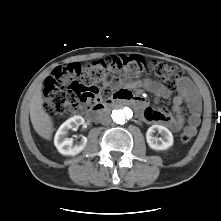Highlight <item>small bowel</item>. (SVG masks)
<instances>
[{
    "instance_id": "obj_1",
    "label": "small bowel",
    "mask_w": 221,
    "mask_h": 221,
    "mask_svg": "<svg viewBox=\"0 0 221 221\" xmlns=\"http://www.w3.org/2000/svg\"><path fill=\"white\" fill-rule=\"evenodd\" d=\"M128 84L126 79L115 76H108L105 80L106 87H117L119 85ZM142 84L148 90L158 97L166 98L171 91L152 80H144L143 82H133L136 86ZM186 103L189 116L185 119L182 114V104ZM142 116L147 122H158L167 125L174 132H189L194 136L197 132L201 120V99L198 91L189 79L183 78L178 86V95L173 99V115L166 109H153L144 102L142 106Z\"/></svg>"
}]
</instances>
